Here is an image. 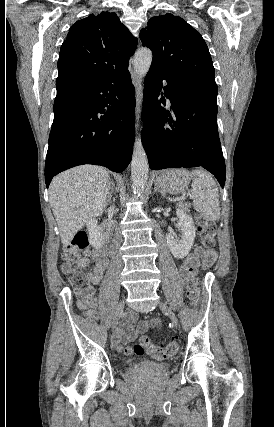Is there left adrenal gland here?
<instances>
[{
    "label": "left adrenal gland",
    "mask_w": 274,
    "mask_h": 427,
    "mask_svg": "<svg viewBox=\"0 0 274 427\" xmlns=\"http://www.w3.org/2000/svg\"><path fill=\"white\" fill-rule=\"evenodd\" d=\"M154 192H160V194H163L162 190H159V188H154Z\"/></svg>",
    "instance_id": "1"
}]
</instances>
